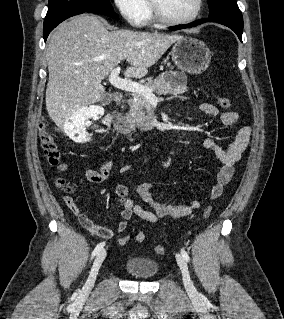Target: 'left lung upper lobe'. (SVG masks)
<instances>
[{
  "label": "left lung upper lobe",
  "instance_id": "5c2ea615",
  "mask_svg": "<svg viewBox=\"0 0 284 319\" xmlns=\"http://www.w3.org/2000/svg\"><path fill=\"white\" fill-rule=\"evenodd\" d=\"M209 4V17H231L243 20L236 0H207Z\"/></svg>",
  "mask_w": 284,
  "mask_h": 319
}]
</instances>
